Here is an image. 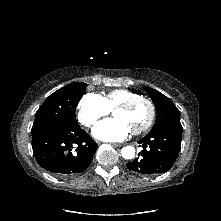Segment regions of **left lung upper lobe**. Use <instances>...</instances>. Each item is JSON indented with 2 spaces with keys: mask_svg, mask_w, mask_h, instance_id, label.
<instances>
[{
  "mask_svg": "<svg viewBox=\"0 0 221 221\" xmlns=\"http://www.w3.org/2000/svg\"><path fill=\"white\" fill-rule=\"evenodd\" d=\"M144 89L151 97L157 112L153 129L165 124L181 125L180 111L167 96L148 86L144 87Z\"/></svg>",
  "mask_w": 221,
  "mask_h": 221,
  "instance_id": "5c2ea615",
  "label": "left lung upper lobe"
}]
</instances>
